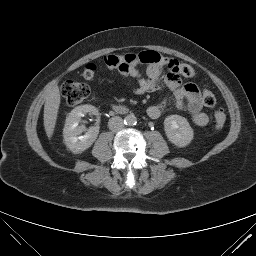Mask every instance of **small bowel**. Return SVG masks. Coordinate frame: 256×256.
I'll use <instances>...</instances> for the list:
<instances>
[{
    "label": "small bowel",
    "mask_w": 256,
    "mask_h": 256,
    "mask_svg": "<svg viewBox=\"0 0 256 256\" xmlns=\"http://www.w3.org/2000/svg\"><path fill=\"white\" fill-rule=\"evenodd\" d=\"M176 59H161L158 63H149L143 75L134 62L116 70L118 75L133 82V92L137 95L151 93L165 85L175 97L176 107L181 109L185 102L193 123L203 127L209 123V117L202 111L203 102L198 87L193 83H182V75L178 72ZM166 107V101L148 107L147 114L151 119H158Z\"/></svg>",
    "instance_id": "1"
}]
</instances>
